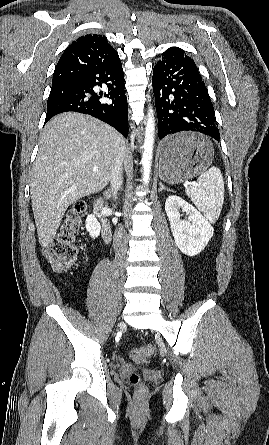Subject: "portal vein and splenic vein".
Here are the masks:
<instances>
[{"label": "portal vein and splenic vein", "mask_w": 269, "mask_h": 445, "mask_svg": "<svg viewBox=\"0 0 269 445\" xmlns=\"http://www.w3.org/2000/svg\"><path fill=\"white\" fill-rule=\"evenodd\" d=\"M97 170H98V168H97V167H94V168H93V171H97Z\"/></svg>", "instance_id": "portal-vein-and-splenic-vein-1"}]
</instances>
